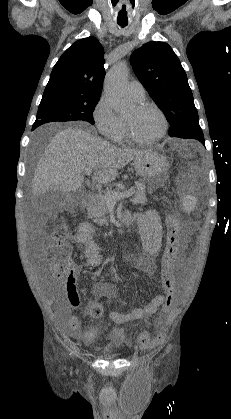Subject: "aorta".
I'll use <instances>...</instances> for the list:
<instances>
[{"label": "aorta", "instance_id": "762f6f07", "mask_svg": "<svg viewBox=\"0 0 231 419\" xmlns=\"http://www.w3.org/2000/svg\"><path fill=\"white\" fill-rule=\"evenodd\" d=\"M128 68L126 63L119 62L107 73L104 90L113 109L123 112L129 107V98L126 90Z\"/></svg>", "mask_w": 231, "mask_h": 419}]
</instances>
